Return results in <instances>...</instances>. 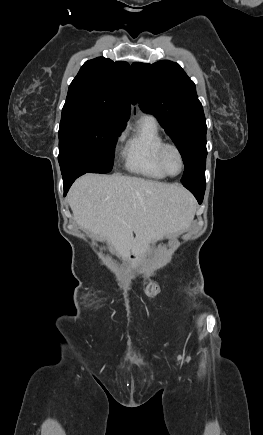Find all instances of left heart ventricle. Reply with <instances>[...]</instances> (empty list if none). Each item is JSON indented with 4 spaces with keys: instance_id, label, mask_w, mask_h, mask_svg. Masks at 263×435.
Returning <instances> with one entry per match:
<instances>
[{
    "instance_id": "left-heart-ventricle-1",
    "label": "left heart ventricle",
    "mask_w": 263,
    "mask_h": 435,
    "mask_svg": "<svg viewBox=\"0 0 263 435\" xmlns=\"http://www.w3.org/2000/svg\"><path fill=\"white\" fill-rule=\"evenodd\" d=\"M164 163L167 170L170 173L176 174L180 171L181 168L180 158L175 150L168 149L166 151L164 155Z\"/></svg>"
}]
</instances>
